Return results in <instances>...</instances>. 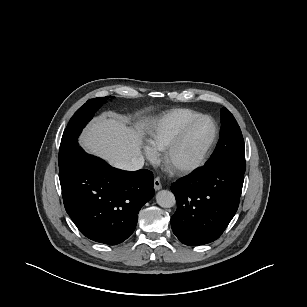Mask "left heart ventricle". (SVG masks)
Listing matches in <instances>:
<instances>
[{
  "label": "left heart ventricle",
  "instance_id": "obj_1",
  "mask_svg": "<svg viewBox=\"0 0 307 307\" xmlns=\"http://www.w3.org/2000/svg\"><path fill=\"white\" fill-rule=\"evenodd\" d=\"M214 136V125L208 120L199 121L187 134L175 152L172 162L176 166L189 165L200 158Z\"/></svg>",
  "mask_w": 307,
  "mask_h": 307
}]
</instances>
